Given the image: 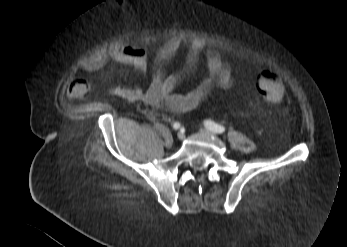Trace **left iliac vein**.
Returning a JSON list of instances; mask_svg holds the SVG:
<instances>
[{"label": "left iliac vein", "mask_w": 347, "mask_h": 247, "mask_svg": "<svg viewBox=\"0 0 347 247\" xmlns=\"http://www.w3.org/2000/svg\"><path fill=\"white\" fill-rule=\"evenodd\" d=\"M200 132H201L202 134L215 135V133H213V132H211L210 130L205 129V128L201 129Z\"/></svg>", "instance_id": "4c4485c4"}]
</instances>
